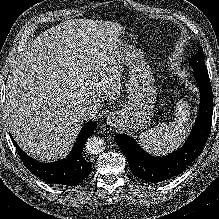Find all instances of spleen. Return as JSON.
<instances>
[{"label": "spleen", "mask_w": 219, "mask_h": 219, "mask_svg": "<svg viewBox=\"0 0 219 219\" xmlns=\"http://www.w3.org/2000/svg\"><path fill=\"white\" fill-rule=\"evenodd\" d=\"M189 106L181 100L175 107L174 122L159 124L139 135V143L150 153L161 155L178 147L189 128Z\"/></svg>", "instance_id": "1"}]
</instances>
